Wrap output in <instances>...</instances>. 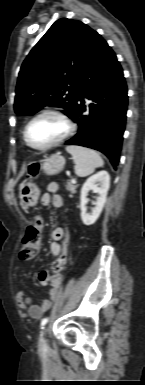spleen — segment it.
Here are the masks:
<instances>
[{
  "label": "spleen",
  "instance_id": "spleen-1",
  "mask_svg": "<svg viewBox=\"0 0 145 385\" xmlns=\"http://www.w3.org/2000/svg\"><path fill=\"white\" fill-rule=\"evenodd\" d=\"M66 151L72 155L75 163V173L79 177H86L98 167L103 166L104 161L100 154L90 148L70 145Z\"/></svg>",
  "mask_w": 145,
  "mask_h": 385
}]
</instances>
